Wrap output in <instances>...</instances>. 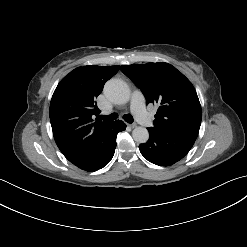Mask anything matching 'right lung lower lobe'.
<instances>
[{
	"label": "right lung lower lobe",
	"mask_w": 247,
	"mask_h": 247,
	"mask_svg": "<svg viewBox=\"0 0 247 247\" xmlns=\"http://www.w3.org/2000/svg\"><path fill=\"white\" fill-rule=\"evenodd\" d=\"M126 129V124L117 120L93 131L83 149L68 160L85 171L93 172L106 166L116 148V137Z\"/></svg>",
	"instance_id": "1"
}]
</instances>
